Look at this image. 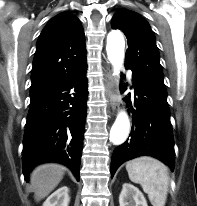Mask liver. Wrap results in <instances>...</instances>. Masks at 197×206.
Here are the masks:
<instances>
[{
	"mask_svg": "<svg viewBox=\"0 0 197 206\" xmlns=\"http://www.w3.org/2000/svg\"><path fill=\"white\" fill-rule=\"evenodd\" d=\"M65 167L55 163L37 166L30 175L34 198L38 202L47 197L60 183L64 176Z\"/></svg>",
	"mask_w": 197,
	"mask_h": 206,
	"instance_id": "obj_1",
	"label": "liver"
}]
</instances>
